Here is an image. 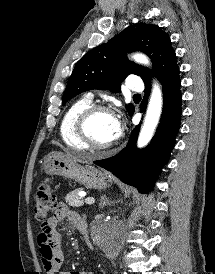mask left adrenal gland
<instances>
[{
	"instance_id": "1",
	"label": "left adrenal gland",
	"mask_w": 215,
	"mask_h": 274,
	"mask_svg": "<svg viewBox=\"0 0 215 274\" xmlns=\"http://www.w3.org/2000/svg\"><path fill=\"white\" fill-rule=\"evenodd\" d=\"M111 203L113 202L109 201L106 195H103L100 199L99 208L102 209L104 206L110 205Z\"/></svg>"
}]
</instances>
